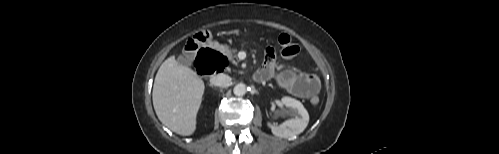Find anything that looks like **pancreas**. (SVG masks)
Returning a JSON list of instances; mask_svg holds the SVG:
<instances>
[{
	"instance_id": "obj_1",
	"label": "pancreas",
	"mask_w": 499,
	"mask_h": 154,
	"mask_svg": "<svg viewBox=\"0 0 499 154\" xmlns=\"http://www.w3.org/2000/svg\"><path fill=\"white\" fill-rule=\"evenodd\" d=\"M222 52L228 57L229 60H231L233 63H235L234 57L237 52L236 49H229L228 46H222L221 47Z\"/></svg>"
}]
</instances>
